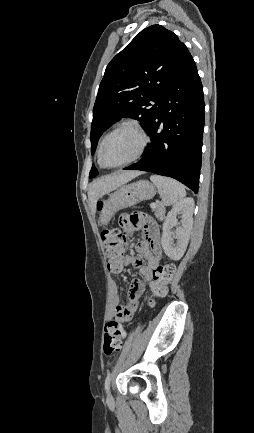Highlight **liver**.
Returning <instances> with one entry per match:
<instances>
[{
	"label": "liver",
	"mask_w": 254,
	"mask_h": 433,
	"mask_svg": "<svg viewBox=\"0 0 254 433\" xmlns=\"http://www.w3.org/2000/svg\"><path fill=\"white\" fill-rule=\"evenodd\" d=\"M140 174H142V172L122 171L94 180L91 183L88 191V200L92 213L95 214L96 212L97 201L99 198L112 192L113 190H116Z\"/></svg>",
	"instance_id": "1"
}]
</instances>
